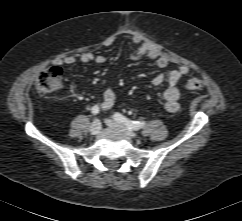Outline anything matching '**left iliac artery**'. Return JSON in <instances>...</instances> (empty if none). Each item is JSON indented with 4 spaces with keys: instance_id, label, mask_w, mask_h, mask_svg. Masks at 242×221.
Wrapping results in <instances>:
<instances>
[{
    "instance_id": "44dca946",
    "label": "left iliac artery",
    "mask_w": 242,
    "mask_h": 221,
    "mask_svg": "<svg viewBox=\"0 0 242 221\" xmlns=\"http://www.w3.org/2000/svg\"><path fill=\"white\" fill-rule=\"evenodd\" d=\"M113 117L116 121L123 123L127 128L132 130H139L145 126L144 121H131L120 113H115Z\"/></svg>"
}]
</instances>
